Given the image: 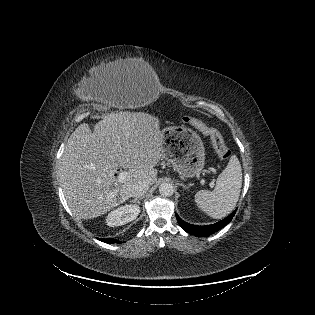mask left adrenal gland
Returning a JSON list of instances; mask_svg holds the SVG:
<instances>
[{"mask_svg":"<svg viewBox=\"0 0 315 315\" xmlns=\"http://www.w3.org/2000/svg\"><path fill=\"white\" fill-rule=\"evenodd\" d=\"M180 185H181L184 189H188V187L185 186L184 184L180 183Z\"/></svg>","mask_w":315,"mask_h":315,"instance_id":"a2214340","label":"left adrenal gland"}]
</instances>
